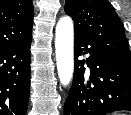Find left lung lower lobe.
<instances>
[{"instance_id": "0a47b994", "label": "left lung lower lobe", "mask_w": 131, "mask_h": 115, "mask_svg": "<svg viewBox=\"0 0 131 115\" xmlns=\"http://www.w3.org/2000/svg\"><path fill=\"white\" fill-rule=\"evenodd\" d=\"M75 71L64 115H107L131 111V68L108 57L89 38L75 33ZM89 53L86 60L78 57ZM90 69L86 73L84 64Z\"/></svg>"}]
</instances>
